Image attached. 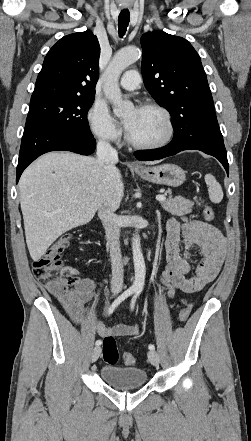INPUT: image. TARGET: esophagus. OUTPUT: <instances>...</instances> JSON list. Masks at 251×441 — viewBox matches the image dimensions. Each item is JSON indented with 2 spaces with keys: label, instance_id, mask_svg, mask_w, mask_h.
Returning <instances> with one entry per match:
<instances>
[{
  "label": "esophagus",
  "instance_id": "34e87169",
  "mask_svg": "<svg viewBox=\"0 0 251 441\" xmlns=\"http://www.w3.org/2000/svg\"><path fill=\"white\" fill-rule=\"evenodd\" d=\"M134 167H139V165H134Z\"/></svg>",
  "mask_w": 251,
  "mask_h": 441
}]
</instances>
